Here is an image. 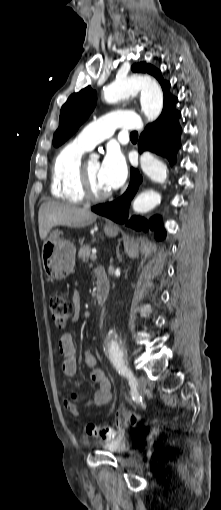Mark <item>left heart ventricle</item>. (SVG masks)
<instances>
[{
    "label": "left heart ventricle",
    "instance_id": "b2bd125f",
    "mask_svg": "<svg viewBox=\"0 0 221 510\" xmlns=\"http://www.w3.org/2000/svg\"><path fill=\"white\" fill-rule=\"evenodd\" d=\"M87 172L89 175L91 187L97 194L109 192L107 187L102 183L100 179V163L97 160H91L86 163Z\"/></svg>",
    "mask_w": 221,
    "mask_h": 510
}]
</instances>
